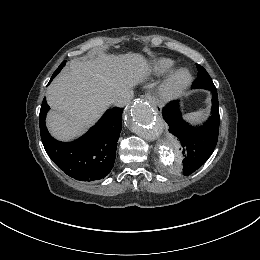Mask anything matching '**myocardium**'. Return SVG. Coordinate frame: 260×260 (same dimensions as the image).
<instances>
[{
    "label": "myocardium",
    "mask_w": 260,
    "mask_h": 260,
    "mask_svg": "<svg viewBox=\"0 0 260 260\" xmlns=\"http://www.w3.org/2000/svg\"><path fill=\"white\" fill-rule=\"evenodd\" d=\"M192 80V72L188 68H175L164 80L160 92L165 97H175L182 94L191 85Z\"/></svg>",
    "instance_id": "f54148a6"
}]
</instances>
